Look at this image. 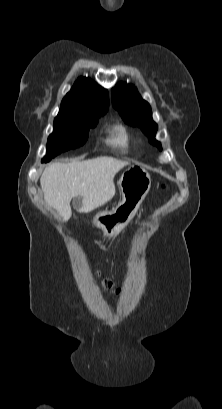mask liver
I'll use <instances>...</instances> for the list:
<instances>
[{
  "label": "liver",
  "instance_id": "1",
  "mask_svg": "<svg viewBox=\"0 0 222 409\" xmlns=\"http://www.w3.org/2000/svg\"><path fill=\"white\" fill-rule=\"evenodd\" d=\"M128 165L126 161L108 156L49 164L40 178L44 199L56 209L63 222L70 219V202L76 197H80L76 207L80 213L92 212L112 199L114 177Z\"/></svg>",
  "mask_w": 222,
  "mask_h": 409
}]
</instances>
